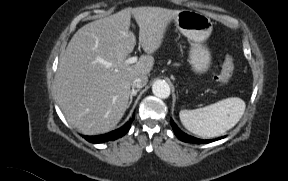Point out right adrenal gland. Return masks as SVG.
Listing matches in <instances>:
<instances>
[{"mask_svg": "<svg viewBox=\"0 0 288 181\" xmlns=\"http://www.w3.org/2000/svg\"><path fill=\"white\" fill-rule=\"evenodd\" d=\"M139 90H140V89H136V90L132 89L131 94H130V100H129V103H128L127 108H129V106H130L131 103H132L133 96H135V95L137 94V92H139Z\"/></svg>", "mask_w": 288, "mask_h": 181, "instance_id": "right-adrenal-gland-1", "label": "right adrenal gland"}]
</instances>
